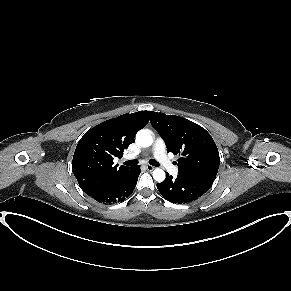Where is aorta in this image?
<instances>
[{
  "label": "aorta",
  "instance_id": "obj_1",
  "mask_svg": "<svg viewBox=\"0 0 291 291\" xmlns=\"http://www.w3.org/2000/svg\"><path fill=\"white\" fill-rule=\"evenodd\" d=\"M136 140L142 147H149L153 143L150 132L144 129L136 134ZM153 178L157 182H162L165 180V172L162 169L157 168L153 171Z\"/></svg>",
  "mask_w": 291,
  "mask_h": 291
}]
</instances>
